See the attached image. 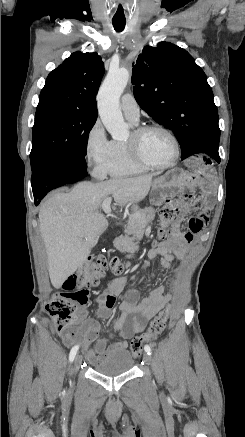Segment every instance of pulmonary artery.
Returning a JSON list of instances; mask_svg holds the SVG:
<instances>
[{
	"label": "pulmonary artery",
	"mask_w": 245,
	"mask_h": 437,
	"mask_svg": "<svg viewBox=\"0 0 245 437\" xmlns=\"http://www.w3.org/2000/svg\"><path fill=\"white\" fill-rule=\"evenodd\" d=\"M120 107L125 117L134 123L138 122L140 116L139 106L131 94H125L120 101Z\"/></svg>",
	"instance_id": "1"
}]
</instances>
